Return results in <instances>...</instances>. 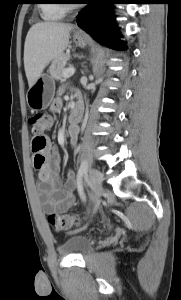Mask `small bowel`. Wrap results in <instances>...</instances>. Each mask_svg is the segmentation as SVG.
<instances>
[{"instance_id": "1", "label": "small bowel", "mask_w": 181, "mask_h": 300, "mask_svg": "<svg viewBox=\"0 0 181 300\" xmlns=\"http://www.w3.org/2000/svg\"><path fill=\"white\" fill-rule=\"evenodd\" d=\"M63 106L61 98H56L50 106L51 111L58 112ZM71 145H76L79 127L68 128ZM34 167L38 170V195L42 201L45 213L63 212L75 204V176L68 171L64 181L59 177L60 155L56 149L49 146L42 155L34 154ZM43 157V162L38 164L37 159Z\"/></svg>"}]
</instances>
